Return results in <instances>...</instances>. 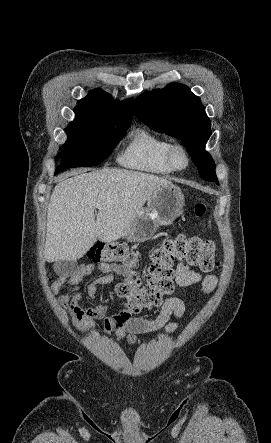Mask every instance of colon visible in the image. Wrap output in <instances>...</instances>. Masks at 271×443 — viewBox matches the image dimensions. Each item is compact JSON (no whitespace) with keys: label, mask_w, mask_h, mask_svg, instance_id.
<instances>
[{"label":"colon","mask_w":271,"mask_h":443,"mask_svg":"<svg viewBox=\"0 0 271 443\" xmlns=\"http://www.w3.org/2000/svg\"><path fill=\"white\" fill-rule=\"evenodd\" d=\"M194 212L203 216L206 204L198 203ZM216 251L213 241L196 236L179 234L166 237L150 251L145 283L135 273L138 255L124 243L97 241L89 250L88 257L95 263H118L132 272L117 285L116 292L127 302L130 312L137 313L161 305L164 295L172 291L175 262L181 261L205 272L212 271L219 265Z\"/></svg>","instance_id":"obj_1"}]
</instances>
